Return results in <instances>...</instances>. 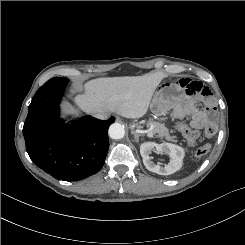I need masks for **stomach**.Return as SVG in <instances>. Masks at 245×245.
<instances>
[{"label": "stomach", "mask_w": 245, "mask_h": 245, "mask_svg": "<svg viewBox=\"0 0 245 245\" xmlns=\"http://www.w3.org/2000/svg\"><path fill=\"white\" fill-rule=\"evenodd\" d=\"M185 92L179 90L171 82L161 83L151 101V110L157 115L163 117L170 114L172 118L183 119L189 112L184 105Z\"/></svg>", "instance_id": "stomach-1"}]
</instances>
